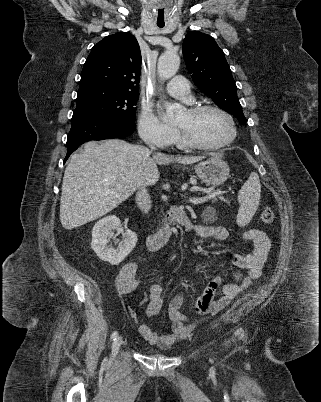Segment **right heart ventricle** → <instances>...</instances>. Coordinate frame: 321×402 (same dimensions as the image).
Listing matches in <instances>:
<instances>
[{
  "label": "right heart ventricle",
  "mask_w": 321,
  "mask_h": 402,
  "mask_svg": "<svg viewBox=\"0 0 321 402\" xmlns=\"http://www.w3.org/2000/svg\"><path fill=\"white\" fill-rule=\"evenodd\" d=\"M174 143H175L178 147H180V148L186 147V146L182 143V141H181V139H180V137H179L178 135L176 136V138H175V140H174Z\"/></svg>",
  "instance_id": "e07e8e85"
}]
</instances>
